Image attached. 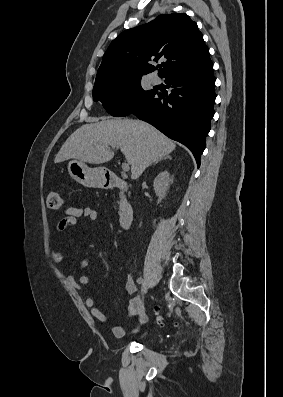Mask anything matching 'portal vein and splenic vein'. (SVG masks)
Here are the masks:
<instances>
[{
  "label": "portal vein and splenic vein",
  "mask_w": 283,
  "mask_h": 397,
  "mask_svg": "<svg viewBox=\"0 0 283 397\" xmlns=\"http://www.w3.org/2000/svg\"><path fill=\"white\" fill-rule=\"evenodd\" d=\"M122 170H123V171H128V170H129V164L126 163V162H123V163H122Z\"/></svg>",
  "instance_id": "18ae733b"
}]
</instances>
